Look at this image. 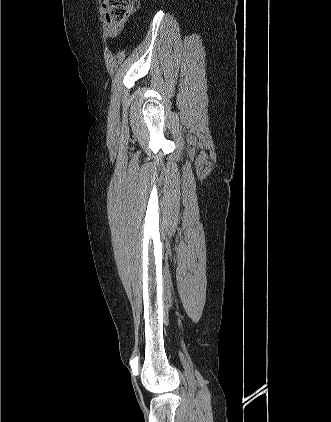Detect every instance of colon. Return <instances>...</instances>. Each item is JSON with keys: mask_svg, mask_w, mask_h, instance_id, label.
Returning <instances> with one entry per match:
<instances>
[{"mask_svg": "<svg viewBox=\"0 0 331 422\" xmlns=\"http://www.w3.org/2000/svg\"><path fill=\"white\" fill-rule=\"evenodd\" d=\"M112 21L123 24L138 6L137 0H106Z\"/></svg>", "mask_w": 331, "mask_h": 422, "instance_id": "5ec220e1", "label": "colon"}]
</instances>
